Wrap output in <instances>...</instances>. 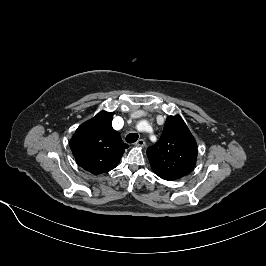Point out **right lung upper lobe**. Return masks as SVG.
Masks as SVG:
<instances>
[{
  "mask_svg": "<svg viewBox=\"0 0 266 266\" xmlns=\"http://www.w3.org/2000/svg\"><path fill=\"white\" fill-rule=\"evenodd\" d=\"M112 118L113 112L101 111L80 125L70 140L77 164L93 174L115 168L129 147L112 128Z\"/></svg>",
  "mask_w": 266,
  "mask_h": 266,
  "instance_id": "right-lung-upper-lobe-1",
  "label": "right lung upper lobe"
}]
</instances>
